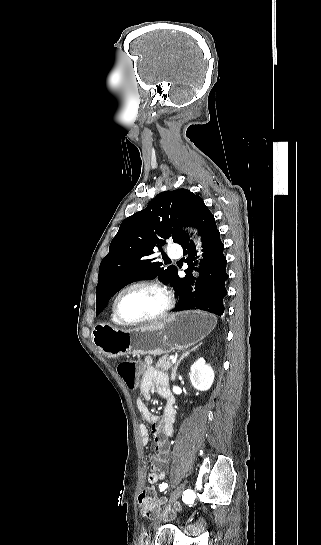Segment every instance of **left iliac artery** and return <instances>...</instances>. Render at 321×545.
<instances>
[{
  "instance_id": "44dca946",
  "label": "left iliac artery",
  "mask_w": 321,
  "mask_h": 545,
  "mask_svg": "<svg viewBox=\"0 0 321 545\" xmlns=\"http://www.w3.org/2000/svg\"><path fill=\"white\" fill-rule=\"evenodd\" d=\"M168 487L167 483H164L160 486V491H164Z\"/></svg>"
}]
</instances>
